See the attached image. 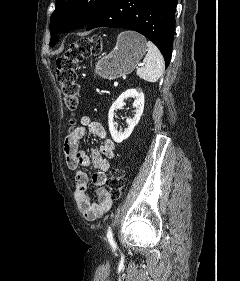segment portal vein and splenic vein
Listing matches in <instances>:
<instances>
[{"mask_svg": "<svg viewBox=\"0 0 240 281\" xmlns=\"http://www.w3.org/2000/svg\"><path fill=\"white\" fill-rule=\"evenodd\" d=\"M114 86H115V87L118 86V82H117V81L114 82Z\"/></svg>", "mask_w": 240, "mask_h": 281, "instance_id": "18ae733b", "label": "portal vein and splenic vein"}]
</instances>
